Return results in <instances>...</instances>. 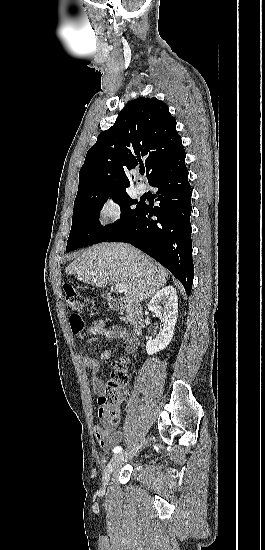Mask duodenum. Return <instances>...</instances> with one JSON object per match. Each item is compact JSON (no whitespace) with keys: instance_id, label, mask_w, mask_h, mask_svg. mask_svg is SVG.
<instances>
[{"instance_id":"duodenum-1","label":"duodenum","mask_w":265,"mask_h":550,"mask_svg":"<svg viewBox=\"0 0 265 550\" xmlns=\"http://www.w3.org/2000/svg\"><path fill=\"white\" fill-rule=\"evenodd\" d=\"M108 302L111 310L126 312L135 335V344L137 346V337L142 333L144 328L143 307L140 304L127 302L118 297H111Z\"/></svg>"}]
</instances>
